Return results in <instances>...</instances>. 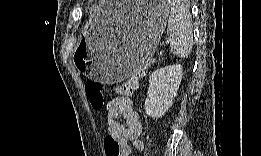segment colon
Masks as SVG:
<instances>
[{
  "label": "colon",
  "instance_id": "5ec220e1",
  "mask_svg": "<svg viewBox=\"0 0 261 156\" xmlns=\"http://www.w3.org/2000/svg\"><path fill=\"white\" fill-rule=\"evenodd\" d=\"M147 67L137 70L124 84L116 89L117 93L131 94L137 87L139 80L144 76ZM87 98L95 110H101L104 107L105 87L95 81H88L85 84ZM104 151L106 156H122V148L118 140L107 135L104 139Z\"/></svg>",
  "mask_w": 261,
  "mask_h": 156
}]
</instances>
